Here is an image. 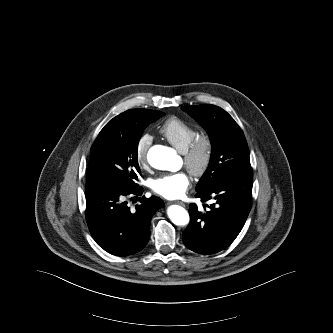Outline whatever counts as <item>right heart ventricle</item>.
<instances>
[{
    "label": "right heart ventricle",
    "instance_id": "1",
    "mask_svg": "<svg viewBox=\"0 0 333 333\" xmlns=\"http://www.w3.org/2000/svg\"><path fill=\"white\" fill-rule=\"evenodd\" d=\"M159 133L180 152H185L197 136L196 129L178 117L165 120Z\"/></svg>",
    "mask_w": 333,
    "mask_h": 333
}]
</instances>
